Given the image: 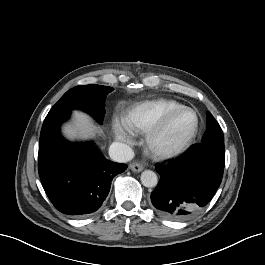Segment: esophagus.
<instances>
[{
  "instance_id": "obj_1",
  "label": "esophagus",
  "mask_w": 265,
  "mask_h": 265,
  "mask_svg": "<svg viewBox=\"0 0 265 265\" xmlns=\"http://www.w3.org/2000/svg\"><path fill=\"white\" fill-rule=\"evenodd\" d=\"M129 169L135 173H139L143 170V166L138 162H133L129 165Z\"/></svg>"
}]
</instances>
